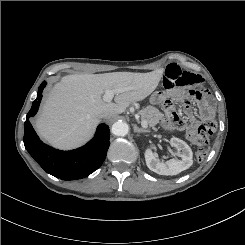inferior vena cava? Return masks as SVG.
Masks as SVG:
<instances>
[{
	"mask_svg": "<svg viewBox=\"0 0 245 245\" xmlns=\"http://www.w3.org/2000/svg\"><path fill=\"white\" fill-rule=\"evenodd\" d=\"M101 117H102V118H108L109 115H108V114H102Z\"/></svg>",
	"mask_w": 245,
	"mask_h": 245,
	"instance_id": "602c4592",
	"label": "inferior vena cava"
}]
</instances>
